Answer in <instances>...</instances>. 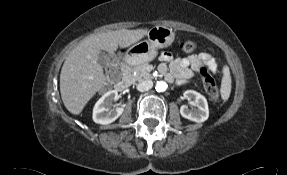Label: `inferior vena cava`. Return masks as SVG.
<instances>
[{"label":"inferior vena cava","instance_id":"inferior-vena-cava-1","mask_svg":"<svg viewBox=\"0 0 287 175\" xmlns=\"http://www.w3.org/2000/svg\"><path fill=\"white\" fill-rule=\"evenodd\" d=\"M153 87V82L150 79L143 80L137 84V90L140 92H145Z\"/></svg>","mask_w":287,"mask_h":175}]
</instances>
